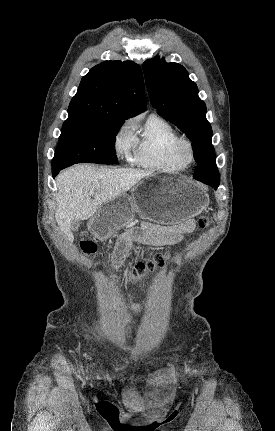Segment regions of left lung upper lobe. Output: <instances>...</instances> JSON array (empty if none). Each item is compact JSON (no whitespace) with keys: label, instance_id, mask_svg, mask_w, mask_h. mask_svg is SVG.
Listing matches in <instances>:
<instances>
[{"label":"left lung upper lobe","instance_id":"obj_1","mask_svg":"<svg viewBox=\"0 0 275 431\" xmlns=\"http://www.w3.org/2000/svg\"><path fill=\"white\" fill-rule=\"evenodd\" d=\"M146 86L158 114L179 127L192 141L195 175L212 172L220 182L215 151L211 144L212 129L206 119V105L198 96L196 84L177 63L154 57L143 64Z\"/></svg>","mask_w":275,"mask_h":431}]
</instances>
